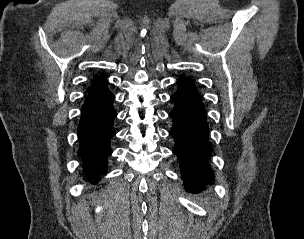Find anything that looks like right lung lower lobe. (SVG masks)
Listing matches in <instances>:
<instances>
[{
    "mask_svg": "<svg viewBox=\"0 0 304 239\" xmlns=\"http://www.w3.org/2000/svg\"><path fill=\"white\" fill-rule=\"evenodd\" d=\"M115 97L107 88V81L98 79L81 110L78 126L84 171L91 175L103 174L107 170V157L112 153L110 139L115 135L113 108Z\"/></svg>",
    "mask_w": 304,
    "mask_h": 239,
    "instance_id": "obj_1",
    "label": "right lung lower lobe"
}]
</instances>
